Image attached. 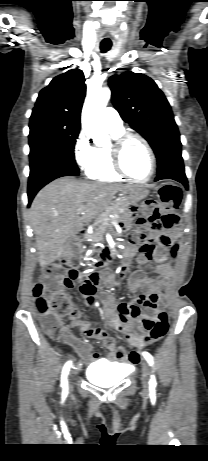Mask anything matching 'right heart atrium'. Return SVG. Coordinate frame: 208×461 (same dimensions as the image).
<instances>
[{
	"mask_svg": "<svg viewBox=\"0 0 208 461\" xmlns=\"http://www.w3.org/2000/svg\"><path fill=\"white\" fill-rule=\"evenodd\" d=\"M93 147L86 134L81 131L75 141L73 154L77 165L85 168L91 158Z\"/></svg>",
	"mask_w": 208,
	"mask_h": 461,
	"instance_id": "1",
	"label": "right heart atrium"
}]
</instances>
